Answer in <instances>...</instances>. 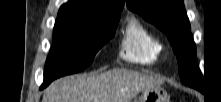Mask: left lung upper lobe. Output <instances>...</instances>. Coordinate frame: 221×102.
<instances>
[{
    "label": "left lung upper lobe",
    "instance_id": "left-lung-upper-lobe-1",
    "mask_svg": "<svg viewBox=\"0 0 221 102\" xmlns=\"http://www.w3.org/2000/svg\"><path fill=\"white\" fill-rule=\"evenodd\" d=\"M126 4L168 35L177 56L181 81L202 91L203 77L196 63V47L183 0H126Z\"/></svg>",
    "mask_w": 221,
    "mask_h": 102
}]
</instances>
